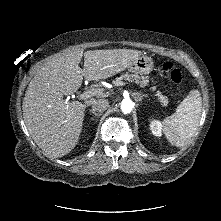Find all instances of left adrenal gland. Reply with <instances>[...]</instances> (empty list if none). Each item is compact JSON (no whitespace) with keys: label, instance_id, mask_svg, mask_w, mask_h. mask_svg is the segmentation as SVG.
<instances>
[{"label":"left adrenal gland","instance_id":"left-adrenal-gland-1","mask_svg":"<svg viewBox=\"0 0 221 221\" xmlns=\"http://www.w3.org/2000/svg\"><path fill=\"white\" fill-rule=\"evenodd\" d=\"M135 95L137 96V98H138L139 101H142V99H143L144 97H148L147 94L136 93Z\"/></svg>","mask_w":221,"mask_h":221}]
</instances>
